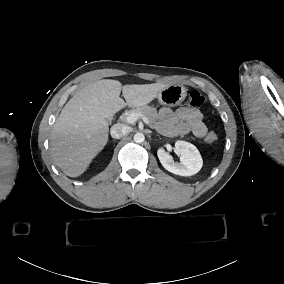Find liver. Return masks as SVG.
Wrapping results in <instances>:
<instances>
[{
  "mask_svg": "<svg viewBox=\"0 0 284 284\" xmlns=\"http://www.w3.org/2000/svg\"><path fill=\"white\" fill-rule=\"evenodd\" d=\"M167 84L124 85L103 79L81 88L64 106L51 133L55 164L69 177L81 175L108 141L106 118L124 108L141 107ZM126 102L119 97L120 93Z\"/></svg>",
  "mask_w": 284,
  "mask_h": 284,
  "instance_id": "6515ba94",
  "label": "liver"
}]
</instances>
